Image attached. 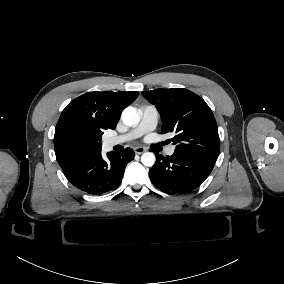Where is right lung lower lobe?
Returning <instances> with one entry per match:
<instances>
[{
	"instance_id": "right-lung-lower-lobe-1",
	"label": "right lung lower lobe",
	"mask_w": 284,
	"mask_h": 284,
	"mask_svg": "<svg viewBox=\"0 0 284 284\" xmlns=\"http://www.w3.org/2000/svg\"><path fill=\"white\" fill-rule=\"evenodd\" d=\"M107 157L105 161L99 153L64 171L65 176L87 194L101 195L115 190L121 184L125 167L133 160L134 152L126 148L122 152H109Z\"/></svg>"
}]
</instances>
